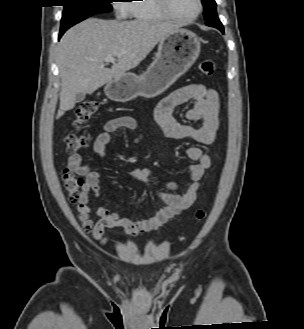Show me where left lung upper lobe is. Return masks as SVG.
<instances>
[{
  "instance_id": "5c2ea615",
  "label": "left lung upper lobe",
  "mask_w": 304,
  "mask_h": 329,
  "mask_svg": "<svg viewBox=\"0 0 304 329\" xmlns=\"http://www.w3.org/2000/svg\"><path fill=\"white\" fill-rule=\"evenodd\" d=\"M204 6V18L207 21L210 16L216 12L215 0H202Z\"/></svg>"
}]
</instances>
